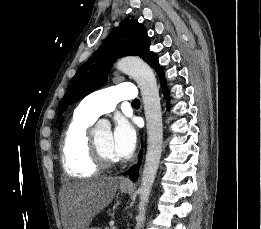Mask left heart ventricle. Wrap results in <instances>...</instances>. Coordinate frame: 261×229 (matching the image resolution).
<instances>
[{"mask_svg": "<svg viewBox=\"0 0 261 229\" xmlns=\"http://www.w3.org/2000/svg\"><path fill=\"white\" fill-rule=\"evenodd\" d=\"M112 134L110 132L102 133L97 137V141L103 152L111 159H116L111 149Z\"/></svg>", "mask_w": 261, "mask_h": 229, "instance_id": "left-heart-ventricle-1", "label": "left heart ventricle"}]
</instances>
